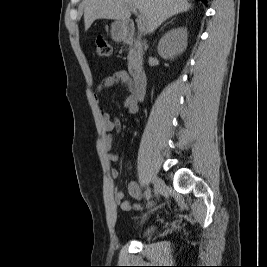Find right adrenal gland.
Listing matches in <instances>:
<instances>
[{
    "label": "right adrenal gland",
    "instance_id": "obj_1",
    "mask_svg": "<svg viewBox=\"0 0 267 267\" xmlns=\"http://www.w3.org/2000/svg\"><path fill=\"white\" fill-rule=\"evenodd\" d=\"M175 18L171 19V21L167 22L166 24H164V26H166L168 23H172V21L174 20ZM162 29V28H161Z\"/></svg>",
    "mask_w": 267,
    "mask_h": 267
}]
</instances>
